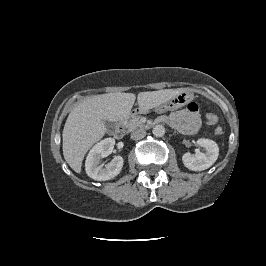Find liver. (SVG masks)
<instances>
[{"label": "liver", "mask_w": 266, "mask_h": 266, "mask_svg": "<svg viewBox=\"0 0 266 266\" xmlns=\"http://www.w3.org/2000/svg\"><path fill=\"white\" fill-rule=\"evenodd\" d=\"M182 89L140 92V111H148L176 96ZM136 96L133 93L93 95L72 109L63 129V155L69 166L81 172L82 161L92 145L106 133L105 121L116 122L129 117Z\"/></svg>", "instance_id": "6515ba94"}]
</instances>
